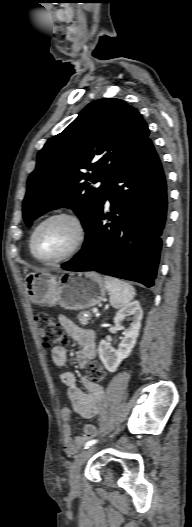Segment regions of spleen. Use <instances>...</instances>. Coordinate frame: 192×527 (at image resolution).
<instances>
[{"label": "spleen", "mask_w": 192, "mask_h": 527, "mask_svg": "<svg viewBox=\"0 0 192 527\" xmlns=\"http://www.w3.org/2000/svg\"><path fill=\"white\" fill-rule=\"evenodd\" d=\"M104 285L109 292L110 303L115 309L128 305L136 294L132 285L114 277L105 276Z\"/></svg>", "instance_id": "obj_1"}]
</instances>
